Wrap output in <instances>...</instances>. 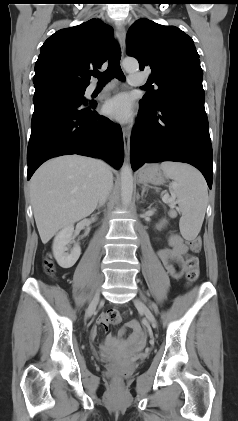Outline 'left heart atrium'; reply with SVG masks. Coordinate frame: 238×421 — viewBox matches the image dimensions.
<instances>
[{"instance_id":"39dd6f15","label":"left heart atrium","mask_w":238,"mask_h":421,"mask_svg":"<svg viewBox=\"0 0 238 421\" xmlns=\"http://www.w3.org/2000/svg\"><path fill=\"white\" fill-rule=\"evenodd\" d=\"M103 111L108 117L120 122L128 121L132 115L129 98L124 94L116 95L107 100L103 106Z\"/></svg>"}]
</instances>
